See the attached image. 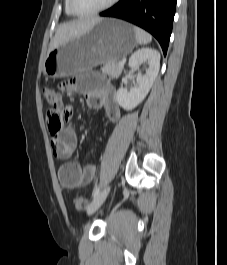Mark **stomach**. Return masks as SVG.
<instances>
[{
	"label": "stomach",
	"instance_id": "stomach-1",
	"mask_svg": "<svg viewBox=\"0 0 227 265\" xmlns=\"http://www.w3.org/2000/svg\"><path fill=\"white\" fill-rule=\"evenodd\" d=\"M137 43L134 27L124 21L104 18L90 31L48 52L43 72L50 78H64L107 62L125 58Z\"/></svg>",
	"mask_w": 227,
	"mask_h": 265
}]
</instances>
